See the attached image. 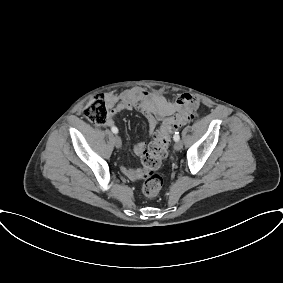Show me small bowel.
<instances>
[{
  "label": "small bowel",
  "instance_id": "obj_1",
  "mask_svg": "<svg viewBox=\"0 0 283 283\" xmlns=\"http://www.w3.org/2000/svg\"><path fill=\"white\" fill-rule=\"evenodd\" d=\"M105 99L110 110V117L107 122L109 126L115 124L114 116L116 114L136 109L146 117L150 135H153L159 123L165 117L175 113L183 104L191 101L196 102L189 94H182L175 102H171L160 93L148 92L138 88L128 89L120 94H108ZM145 148L146 143L140 142L134 146L133 150L135 154L141 155ZM121 171L131 180H138L142 177V171L138 168L122 165Z\"/></svg>",
  "mask_w": 283,
  "mask_h": 283
}]
</instances>
